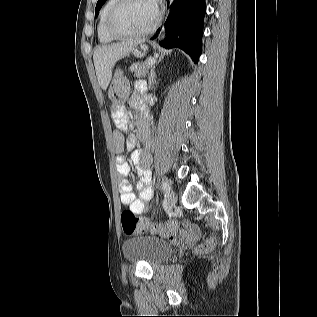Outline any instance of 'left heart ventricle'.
I'll list each match as a JSON object with an SVG mask.
<instances>
[{
	"label": "left heart ventricle",
	"instance_id": "left-heart-ventricle-1",
	"mask_svg": "<svg viewBox=\"0 0 317 317\" xmlns=\"http://www.w3.org/2000/svg\"><path fill=\"white\" fill-rule=\"evenodd\" d=\"M155 17L152 0H127L114 19V27L119 32L134 33L148 27Z\"/></svg>",
	"mask_w": 317,
	"mask_h": 317
}]
</instances>
